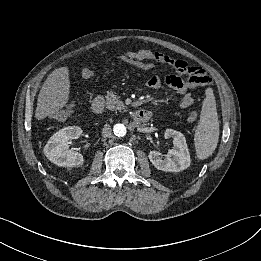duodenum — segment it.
Returning a JSON list of instances; mask_svg holds the SVG:
<instances>
[{
    "instance_id": "410a0bca",
    "label": "duodenum",
    "mask_w": 261,
    "mask_h": 261,
    "mask_svg": "<svg viewBox=\"0 0 261 261\" xmlns=\"http://www.w3.org/2000/svg\"><path fill=\"white\" fill-rule=\"evenodd\" d=\"M104 102L101 97L95 98L91 104V110L94 114H99L103 110ZM151 117V112L147 109H139L133 113V120L136 125L147 122Z\"/></svg>"
}]
</instances>
